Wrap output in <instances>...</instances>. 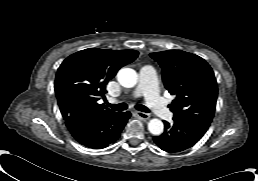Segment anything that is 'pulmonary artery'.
<instances>
[{
	"label": "pulmonary artery",
	"instance_id": "obj_1",
	"mask_svg": "<svg viewBox=\"0 0 258 181\" xmlns=\"http://www.w3.org/2000/svg\"><path fill=\"white\" fill-rule=\"evenodd\" d=\"M143 95L151 110L162 119H170L172 114L164 100L159 95L157 75L153 67L144 66L139 72V84L133 91V96ZM114 102V101H112Z\"/></svg>",
	"mask_w": 258,
	"mask_h": 181
}]
</instances>
